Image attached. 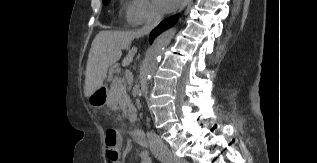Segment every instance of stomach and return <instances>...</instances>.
<instances>
[{
    "label": "stomach",
    "mask_w": 317,
    "mask_h": 163,
    "mask_svg": "<svg viewBox=\"0 0 317 163\" xmlns=\"http://www.w3.org/2000/svg\"><path fill=\"white\" fill-rule=\"evenodd\" d=\"M88 103L93 108H101L108 104V93L104 87L97 89L88 97Z\"/></svg>",
    "instance_id": "obj_1"
}]
</instances>
